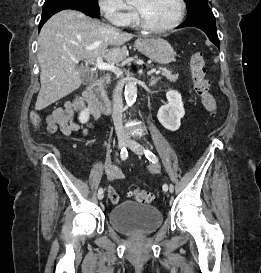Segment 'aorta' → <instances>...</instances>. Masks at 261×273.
I'll list each match as a JSON object with an SVG mask.
<instances>
[{"mask_svg": "<svg viewBox=\"0 0 261 273\" xmlns=\"http://www.w3.org/2000/svg\"><path fill=\"white\" fill-rule=\"evenodd\" d=\"M133 1L134 0H126L127 3H131ZM124 94L127 105L129 106L133 105L137 97L136 82H134L133 80H129L126 83Z\"/></svg>", "mask_w": 261, "mask_h": 273, "instance_id": "obj_1", "label": "aorta"}]
</instances>
